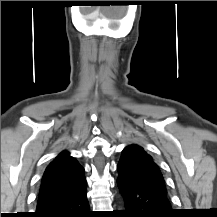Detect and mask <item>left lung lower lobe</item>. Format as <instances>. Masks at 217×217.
<instances>
[{
  "instance_id": "1",
  "label": "left lung lower lobe",
  "mask_w": 217,
  "mask_h": 217,
  "mask_svg": "<svg viewBox=\"0 0 217 217\" xmlns=\"http://www.w3.org/2000/svg\"><path fill=\"white\" fill-rule=\"evenodd\" d=\"M117 185L124 199L125 217H173L168 193L133 185L118 175Z\"/></svg>"
}]
</instances>
